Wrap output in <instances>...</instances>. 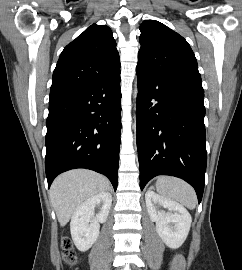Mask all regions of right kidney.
Returning <instances> with one entry per match:
<instances>
[{"instance_id": "right-kidney-1", "label": "right kidney", "mask_w": 242, "mask_h": 270, "mask_svg": "<svg viewBox=\"0 0 242 270\" xmlns=\"http://www.w3.org/2000/svg\"><path fill=\"white\" fill-rule=\"evenodd\" d=\"M111 204L112 195L109 192H103L88 198L74 211L70 231L74 244L80 251H87L97 240L100 223L106 221ZM97 205L101 206V211L95 216Z\"/></svg>"}]
</instances>
